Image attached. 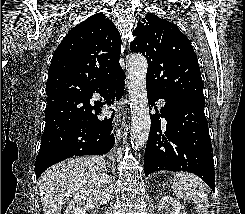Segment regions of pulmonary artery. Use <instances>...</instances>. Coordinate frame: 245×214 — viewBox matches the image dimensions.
Returning a JSON list of instances; mask_svg holds the SVG:
<instances>
[{
    "label": "pulmonary artery",
    "mask_w": 245,
    "mask_h": 214,
    "mask_svg": "<svg viewBox=\"0 0 245 214\" xmlns=\"http://www.w3.org/2000/svg\"><path fill=\"white\" fill-rule=\"evenodd\" d=\"M159 104H162V101L161 100L159 101Z\"/></svg>",
    "instance_id": "obj_1"
}]
</instances>
